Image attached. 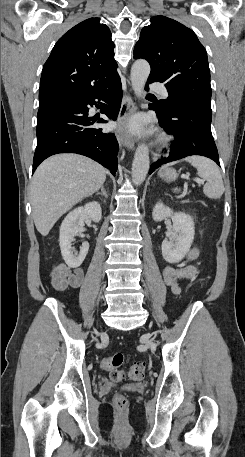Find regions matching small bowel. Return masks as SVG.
<instances>
[{"label":"small bowel","instance_id":"small-bowel-1","mask_svg":"<svg viewBox=\"0 0 245 457\" xmlns=\"http://www.w3.org/2000/svg\"><path fill=\"white\" fill-rule=\"evenodd\" d=\"M199 255L196 247H193L187 254L186 263L183 266H166L163 270V280L174 294L181 291L179 282L185 279L193 278L196 273V267L191 263ZM51 283L58 291H64L67 288H78L84 279V271L81 268H73L64 263H55L51 268Z\"/></svg>","mask_w":245,"mask_h":457}]
</instances>
